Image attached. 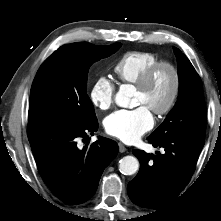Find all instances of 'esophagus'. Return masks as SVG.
Segmentation results:
<instances>
[{"mask_svg": "<svg viewBox=\"0 0 221 221\" xmlns=\"http://www.w3.org/2000/svg\"><path fill=\"white\" fill-rule=\"evenodd\" d=\"M118 146H119V151L121 153H123V152H125L127 150L125 145L123 143H121V142L118 143Z\"/></svg>", "mask_w": 221, "mask_h": 221, "instance_id": "obj_1", "label": "esophagus"}]
</instances>
